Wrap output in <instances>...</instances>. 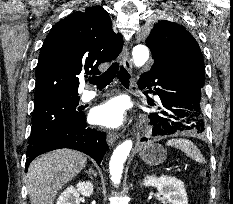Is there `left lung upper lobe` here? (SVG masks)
Masks as SVG:
<instances>
[{"label": "left lung upper lobe", "instance_id": "left-lung-upper-lobe-1", "mask_svg": "<svg viewBox=\"0 0 233 204\" xmlns=\"http://www.w3.org/2000/svg\"><path fill=\"white\" fill-rule=\"evenodd\" d=\"M146 45L154 61L164 56L177 55L204 85L205 67L200 47L184 27L168 20H159L151 26Z\"/></svg>", "mask_w": 233, "mask_h": 204}]
</instances>
